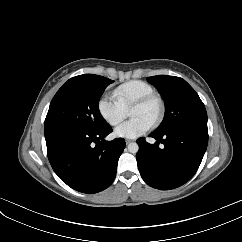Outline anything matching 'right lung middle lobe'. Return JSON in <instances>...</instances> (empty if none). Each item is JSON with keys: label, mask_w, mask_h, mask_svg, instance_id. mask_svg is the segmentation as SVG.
Here are the masks:
<instances>
[{"label": "right lung middle lobe", "mask_w": 242, "mask_h": 242, "mask_svg": "<svg viewBox=\"0 0 242 242\" xmlns=\"http://www.w3.org/2000/svg\"><path fill=\"white\" fill-rule=\"evenodd\" d=\"M113 82L94 74L69 79L51 101L45 130L58 126H81L100 131L109 127L99 112V99Z\"/></svg>", "instance_id": "dd1d6c3e"}]
</instances>
